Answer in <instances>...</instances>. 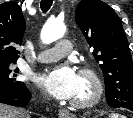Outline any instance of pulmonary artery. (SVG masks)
<instances>
[{
  "label": "pulmonary artery",
  "mask_w": 133,
  "mask_h": 118,
  "mask_svg": "<svg viewBox=\"0 0 133 118\" xmlns=\"http://www.w3.org/2000/svg\"><path fill=\"white\" fill-rule=\"evenodd\" d=\"M72 49V43L67 39H61L57 43L38 55L40 62H54L64 58Z\"/></svg>",
  "instance_id": "e3ab8cb5"
}]
</instances>
